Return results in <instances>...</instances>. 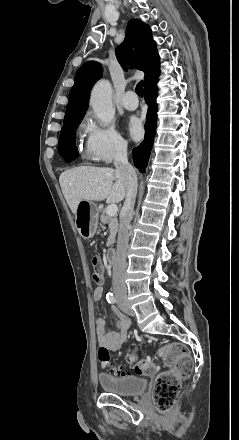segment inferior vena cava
Here are the masks:
<instances>
[{"instance_id":"602c4592","label":"inferior vena cava","mask_w":239,"mask_h":440,"mask_svg":"<svg viewBox=\"0 0 239 440\" xmlns=\"http://www.w3.org/2000/svg\"><path fill=\"white\" fill-rule=\"evenodd\" d=\"M128 142L122 140L114 158L116 172L120 174L126 188V198L120 214L117 250L113 262V292L116 294L118 307H131L128 302L124 274L126 270V256L129 242V226L133 216L134 204L137 194V176L134 168L130 166L127 158Z\"/></svg>"}]
</instances>
